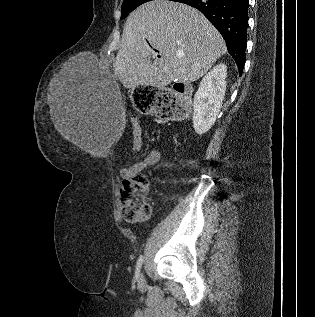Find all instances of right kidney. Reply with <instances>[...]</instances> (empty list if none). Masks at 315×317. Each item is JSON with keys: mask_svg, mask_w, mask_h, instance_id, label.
Listing matches in <instances>:
<instances>
[{"mask_svg": "<svg viewBox=\"0 0 315 317\" xmlns=\"http://www.w3.org/2000/svg\"><path fill=\"white\" fill-rule=\"evenodd\" d=\"M226 65L214 66L202 79L194 95L193 127L198 135L205 134L214 124L226 91Z\"/></svg>", "mask_w": 315, "mask_h": 317, "instance_id": "obj_1", "label": "right kidney"}]
</instances>
